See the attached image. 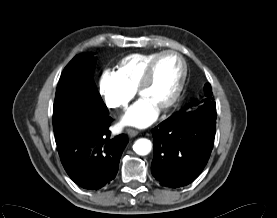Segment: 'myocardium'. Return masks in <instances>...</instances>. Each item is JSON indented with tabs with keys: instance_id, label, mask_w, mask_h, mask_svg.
I'll use <instances>...</instances> for the list:
<instances>
[{
	"instance_id": "1",
	"label": "myocardium",
	"mask_w": 277,
	"mask_h": 218,
	"mask_svg": "<svg viewBox=\"0 0 277 218\" xmlns=\"http://www.w3.org/2000/svg\"><path fill=\"white\" fill-rule=\"evenodd\" d=\"M167 55H174L179 59L181 66H182V73H181L180 81L178 83V86H177L175 92L173 93L172 97L165 104H163L160 107L161 110H166V109L171 108L179 100V98L183 92V89L185 87L186 80H187V75H188V66H187V62H186L185 58L180 53L173 51V50H164V51L159 52L149 62L148 66L144 72V75L138 85V92H139V94H141L142 91L151 82V80L154 76V71H155V67H156L157 63L159 62V60L161 58H163L164 56H167Z\"/></svg>"
}]
</instances>
